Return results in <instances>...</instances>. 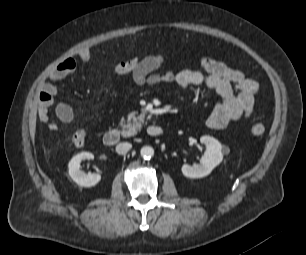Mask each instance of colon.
I'll return each instance as SVG.
<instances>
[{
	"mask_svg": "<svg viewBox=\"0 0 306 255\" xmlns=\"http://www.w3.org/2000/svg\"><path fill=\"white\" fill-rule=\"evenodd\" d=\"M139 60L140 59L138 58H130V59L119 61L115 65L114 70L118 74H129L138 65ZM264 132H265V127L260 123L254 124L251 127V133L252 135L256 137L262 136ZM86 138H87L86 130L80 129L74 133L72 137V141L75 146L81 147L84 145Z\"/></svg>",
	"mask_w": 306,
	"mask_h": 255,
	"instance_id": "obj_1",
	"label": "colon"
}]
</instances>
